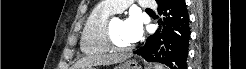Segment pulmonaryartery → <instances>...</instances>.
I'll return each instance as SVG.
<instances>
[{"mask_svg":"<svg viewBox=\"0 0 246 69\" xmlns=\"http://www.w3.org/2000/svg\"><path fill=\"white\" fill-rule=\"evenodd\" d=\"M105 2L115 12H121L132 1H130V0H108V1H105ZM139 4L141 6H143V7H146L148 9H150V10L155 6V3L154 2H148V1H143V2H140Z\"/></svg>","mask_w":246,"mask_h":69,"instance_id":"pulmonary-artery-1","label":"pulmonary artery"}]
</instances>
